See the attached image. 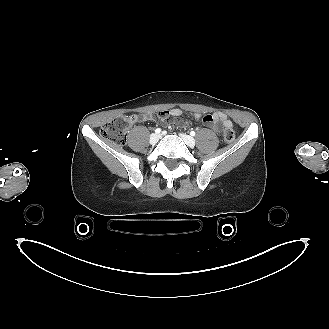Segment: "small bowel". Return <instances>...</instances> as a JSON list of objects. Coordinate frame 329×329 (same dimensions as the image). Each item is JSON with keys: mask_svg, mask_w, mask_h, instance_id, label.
<instances>
[{"mask_svg": "<svg viewBox=\"0 0 329 329\" xmlns=\"http://www.w3.org/2000/svg\"><path fill=\"white\" fill-rule=\"evenodd\" d=\"M182 115V111L178 108H169L166 110H162L156 114V117L159 121L162 123H165L169 121L172 118H178ZM195 119H202L204 124L208 127H210L214 131H220L221 128L225 129H232L233 123L232 121L227 117L226 114L222 112H216L213 114H207L202 117L200 114H193L192 115ZM133 120L136 119V117H132ZM141 121H148L153 120L154 117L151 114H141L138 117ZM183 126L186 125L185 122H181Z\"/></svg>", "mask_w": 329, "mask_h": 329, "instance_id": "obj_1", "label": "small bowel"}]
</instances>
